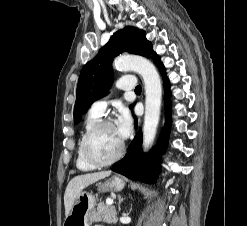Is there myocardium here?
Masks as SVG:
<instances>
[{
    "label": "myocardium",
    "instance_id": "obj_1",
    "mask_svg": "<svg viewBox=\"0 0 247 226\" xmlns=\"http://www.w3.org/2000/svg\"><path fill=\"white\" fill-rule=\"evenodd\" d=\"M109 126H114V123L111 120L104 119V120H99L96 122L84 135L81 148H82V154L84 159L92 166L94 167H105L114 164L118 160H120L123 155L125 154L126 150V145L124 142H122V145L118 151V153L113 156L112 158L105 160V161H100L95 159L90 151H89V141L92 138V136L97 133L99 130L105 127Z\"/></svg>",
    "mask_w": 247,
    "mask_h": 226
}]
</instances>
